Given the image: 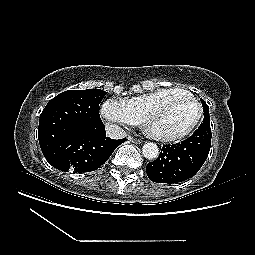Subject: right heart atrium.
<instances>
[{"label": "right heart atrium", "instance_id": "1", "mask_svg": "<svg viewBox=\"0 0 255 255\" xmlns=\"http://www.w3.org/2000/svg\"><path fill=\"white\" fill-rule=\"evenodd\" d=\"M101 114L111 127H117L118 125L127 127L139 123L125 100L116 98L105 100L101 108Z\"/></svg>", "mask_w": 255, "mask_h": 255}]
</instances>
